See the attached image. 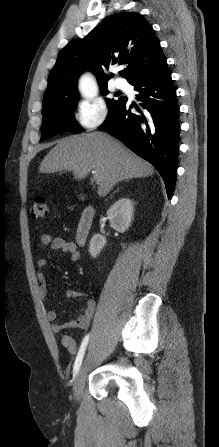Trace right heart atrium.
I'll list each match as a JSON object with an SVG mask.
<instances>
[{
	"instance_id": "right-heart-atrium-1",
	"label": "right heart atrium",
	"mask_w": 219,
	"mask_h": 447,
	"mask_svg": "<svg viewBox=\"0 0 219 447\" xmlns=\"http://www.w3.org/2000/svg\"><path fill=\"white\" fill-rule=\"evenodd\" d=\"M76 121L84 131H93L108 118L107 106L99 100L80 103L76 110Z\"/></svg>"
}]
</instances>
